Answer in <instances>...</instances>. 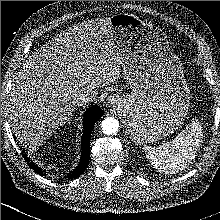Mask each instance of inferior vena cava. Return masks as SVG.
I'll return each mask as SVG.
<instances>
[{"instance_id":"obj_1","label":"inferior vena cava","mask_w":220,"mask_h":220,"mask_svg":"<svg viewBox=\"0 0 220 220\" xmlns=\"http://www.w3.org/2000/svg\"><path fill=\"white\" fill-rule=\"evenodd\" d=\"M97 97V93L95 91H87L82 93L78 98V105H84L95 100Z\"/></svg>"}]
</instances>
